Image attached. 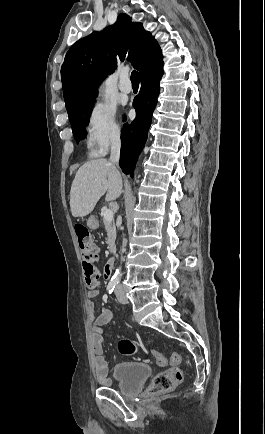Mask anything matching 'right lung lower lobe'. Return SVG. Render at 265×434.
Listing matches in <instances>:
<instances>
[{
  "instance_id": "right-lung-lower-lobe-1",
  "label": "right lung lower lobe",
  "mask_w": 265,
  "mask_h": 434,
  "mask_svg": "<svg viewBox=\"0 0 265 434\" xmlns=\"http://www.w3.org/2000/svg\"><path fill=\"white\" fill-rule=\"evenodd\" d=\"M163 75L162 55L154 56L143 62L140 69L141 90L134 98L133 107L136 118L125 124L122 132L120 166L125 174L133 176L136 158L142 150L150 128L152 113L157 104L159 81Z\"/></svg>"
}]
</instances>
